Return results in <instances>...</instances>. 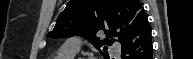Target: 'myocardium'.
Returning a JSON list of instances; mask_svg holds the SVG:
<instances>
[{"instance_id":"f54148a6","label":"myocardium","mask_w":193,"mask_h":59,"mask_svg":"<svg viewBox=\"0 0 193 59\" xmlns=\"http://www.w3.org/2000/svg\"><path fill=\"white\" fill-rule=\"evenodd\" d=\"M73 59H90V58H87V57H76V58H73Z\"/></svg>"}]
</instances>
